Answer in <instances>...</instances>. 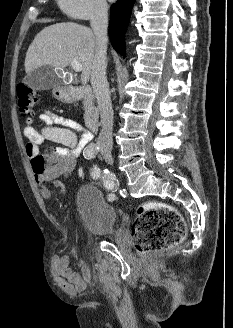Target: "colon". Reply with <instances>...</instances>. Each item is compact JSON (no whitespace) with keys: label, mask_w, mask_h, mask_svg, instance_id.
Segmentation results:
<instances>
[{"label":"colon","mask_w":233,"mask_h":328,"mask_svg":"<svg viewBox=\"0 0 233 328\" xmlns=\"http://www.w3.org/2000/svg\"><path fill=\"white\" fill-rule=\"evenodd\" d=\"M18 107L29 118L38 101L37 93L23 83L16 88ZM33 165L38 174L49 168L47 155L36 156ZM186 235V224L178 210L158 202L145 203L137 209L132 227V241L140 254L161 252L177 246Z\"/></svg>","instance_id":"5ec220e1"}]
</instances>
